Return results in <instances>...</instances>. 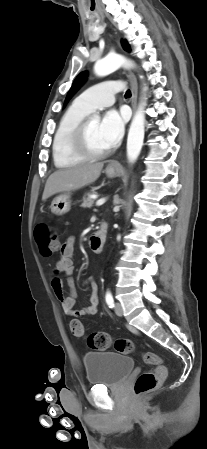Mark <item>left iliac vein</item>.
Instances as JSON below:
<instances>
[{
	"instance_id": "obj_1",
	"label": "left iliac vein",
	"mask_w": 207,
	"mask_h": 449,
	"mask_svg": "<svg viewBox=\"0 0 207 449\" xmlns=\"http://www.w3.org/2000/svg\"><path fill=\"white\" fill-rule=\"evenodd\" d=\"M115 313L120 317L123 315L122 305L118 302L115 304Z\"/></svg>"
}]
</instances>
